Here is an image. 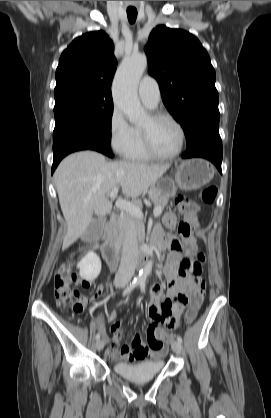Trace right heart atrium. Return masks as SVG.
Masks as SVG:
<instances>
[{
    "label": "right heart atrium",
    "mask_w": 271,
    "mask_h": 418,
    "mask_svg": "<svg viewBox=\"0 0 271 418\" xmlns=\"http://www.w3.org/2000/svg\"><path fill=\"white\" fill-rule=\"evenodd\" d=\"M133 140V127L128 123L118 107H114L109 117V141L112 149L125 155Z\"/></svg>",
    "instance_id": "d8ad5b80"
}]
</instances>
